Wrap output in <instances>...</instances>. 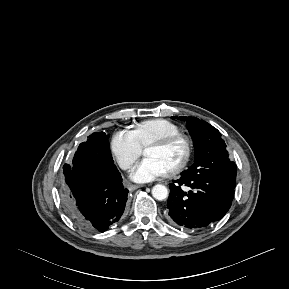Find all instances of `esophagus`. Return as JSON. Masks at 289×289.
<instances>
[{"label":"esophagus","mask_w":289,"mask_h":289,"mask_svg":"<svg viewBox=\"0 0 289 289\" xmlns=\"http://www.w3.org/2000/svg\"><path fill=\"white\" fill-rule=\"evenodd\" d=\"M139 187H141V186H140V185H135V184H130V185L128 186V188H129L130 191H134L135 189H137V188H139Z\"/></svg>","instance_id":"obj_1"}]
</instances>
